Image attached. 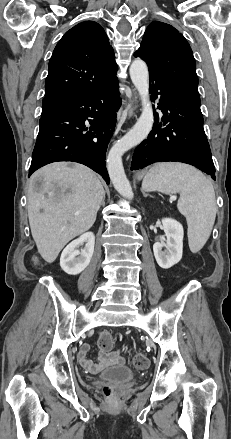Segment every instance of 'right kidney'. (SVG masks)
<instances>
[{
	"label": "right kidney",
	"mask_w": 231,
	"mask_h": 439,
	"mask_svg": "<svg viewBox=\"0 0 231 439\" xmlns=\"http://www.w3.org/2000/svg\"><path fill=\"white\" fill-rule=\"evenodd\" d=\"M86 242L84 248L79 247ZM95 236L92 232L81 235L72 241L63 250L60 257V266L69 275L81 273L90 263L94 252Z\"/></svg>",
	"instance_id": "right-kidney-1"
}]
</instances>
